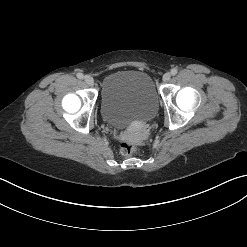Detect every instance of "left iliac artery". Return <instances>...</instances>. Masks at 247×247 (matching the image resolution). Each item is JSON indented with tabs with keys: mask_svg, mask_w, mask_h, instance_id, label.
<instances>
[{
	"mask_svg": "<svg viewBox=\"0 0 247 247\" xmlns=\"http://www.w3.org/2000/svg\"><path fill=\"white\" fill-rule=\"evenodd\" d=\"M177 72H178V70L176 68L171 69V74L172 75H176Z\"/></svg>",
	"mask_w": 247,
	"mask_h": 247,
	"instance_id": "left-iliac-artery-1",
	"label": "left iliac artery"
}]
</instances>
